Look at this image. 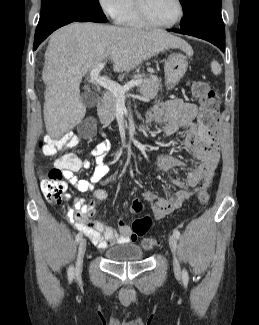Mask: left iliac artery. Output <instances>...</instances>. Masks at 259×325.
Instances as JSON below:
<instances>
[{
    "mask_svg": "<svg viewBox=\"0 0 259 325\" xmlns=\"http://www.w3.org/2000/svg\"><path fill=\"white\" fill-rule=\"evenodd\" d=\"M173 235H174L177 239H179L180 236H181L180 232H179L177 229H174V230H173ZM182 277H183L184 280H188L189 275H188V272H187L186 269H184V270L182 271Z\"/></svg>",
    "mask_w": 259,
    "mask_h": 325,
    "instance_id": "44dca946",
    "label": "left iliac artery"
}]
</instances>
